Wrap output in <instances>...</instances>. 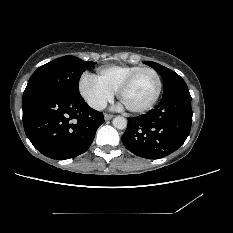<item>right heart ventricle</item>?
<instances>
[{"mask_svg": "<svg viewBox=\"0 0 233 233\" xmlns=\"http://www.w3.org/2000/svg\"><path fill=\"white\" fill-rule=\"evenodd\" d=\"M143 68L138 65H122L101 68L93 78L113 94L120 85L135 71Z\"/></svg>", "mask_w": 233, "mask_h": 233, "instance_id": "1", "label": "right heart ventricle"}]
</instances>
